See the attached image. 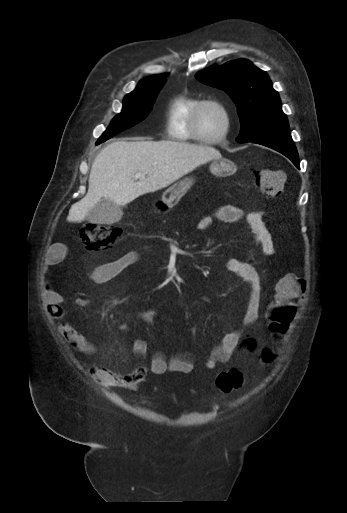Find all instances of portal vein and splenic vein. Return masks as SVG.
Returning a JSON list of instances; mask_svg holds the SVG:
<instances>
[{
	"label": "portal vein and splenic vein",
	"instance_id": "18ae733b",
	"mask_svg": "<svg viewBox=\"0 0 347 513\" xmlns=\"http://www.w3.org/2000/svg\"><path fill=\"white\" fill-rule=\"evenodd\" d=\"M134 177H135V178H141V179H144V178H145V174H143V173H136Z\"/></svg>",
	"mask_w": 347,
	"mask_h": 513
}]
</instances>
